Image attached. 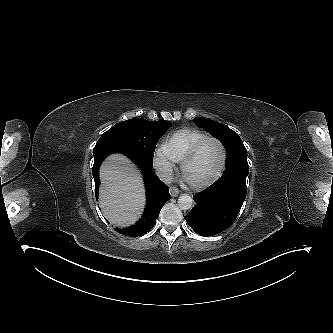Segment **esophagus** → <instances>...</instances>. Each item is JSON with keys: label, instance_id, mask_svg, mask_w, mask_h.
<instances>
[{"label": "esophagus", "instance_id": "esophagus-1", "mask_svg": "<svg viewBox=\"0 0 333 333\" xmlns=\"http://www.w3.org/2000/svg\"><path fill=\"white\" fill-rule=\"evenodd\" d=\"M179 189L176 187H170V194L172 197H176L179 194Z\"/></svg>", "mask_w": 333, "mask_h": 333}]
</instances>
